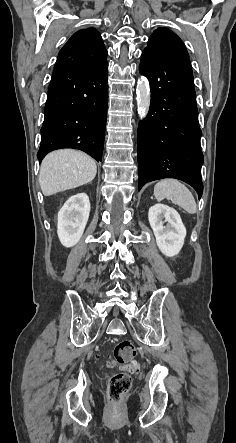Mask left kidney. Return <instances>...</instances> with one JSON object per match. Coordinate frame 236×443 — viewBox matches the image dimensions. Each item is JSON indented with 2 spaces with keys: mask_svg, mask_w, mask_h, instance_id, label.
I'll return each mask as SVG.
<instances>
[{
  "mask_svg": "<svg viewBox=\"0 0 236 443\" xmlns=\"http://www.w3.org/2000/svg\"><path fill=\"white\" fill-rule=\"evenodd\" d=\"M148 219L160 251L168 257L177 255L186 237V228L178 212L167 205L155 204L149 209Z\"/></svg>",
  "mask_w": 236,
  "mask_h": 443,
  "instance_id": "obj_1",
  "label": "left kidney"
}]
</instances>
